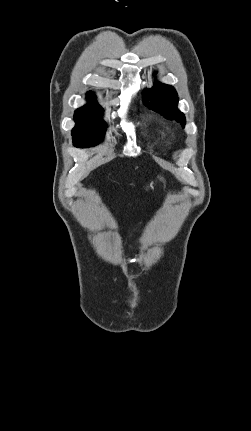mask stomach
Instances as JSON below:
<instances>
[{
  "label": "stomach",
  "instance_id": "stomach-1",
  "mask_svg": "<svg viewBox=\"0 0 251 431\" xmlns=\"http://www.w3.org/2000/svg\"><path fill=\"white\" fill-rule=\"evenodd\" d=\"M150 187L153 188V183L150 184Z\"/></svg>",
  "mask_w": 251,
  "mask_h": 431
}]
</instances>
